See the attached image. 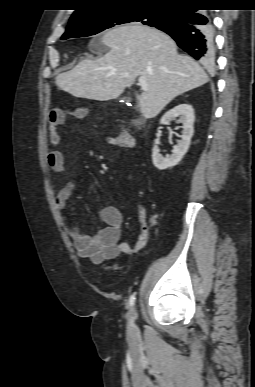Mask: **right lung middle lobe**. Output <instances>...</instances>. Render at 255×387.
<instances>
[{"label": "right lung middle lobe", "instance_id": "right-lung-middle-lobe-1", "mask_svg": "<svg viewBox=\"0 0 255 387\" xmlns=\"http://www.w3.org/2000/svg\"><path fill=\"white\" fill-rule=\"evenodd\" d=\"M172 7L122 6L69 22L62 40L95 35L116 25L141 22L152 27L164 25Z\"/></svg>", "mask_w": 255, "mask_h": 387}]
</instances>
